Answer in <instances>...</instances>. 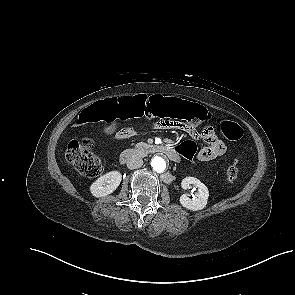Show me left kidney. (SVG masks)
Instances as JSON below:
<instances>
[{"instance_id": "obj_1", "label": "left kidney", "mask_w": 295, "mask_h": 295, "mask_svg": "<svg viewBox=\"0 0 295 295\" xmlns=\"http://www.w3.org/2000/svg\"><path fill=\"white\" fill-rule=\"evenodd\" d=\"M181 186L183 189H190L191 186L197 188V193L194 195L193 199H190L187 194H183L180 197V204L188 210L198 211L202 210L206 204L209 197L208 188L195 177H186L182 180Z\"/></svg>"}]
</instances>
